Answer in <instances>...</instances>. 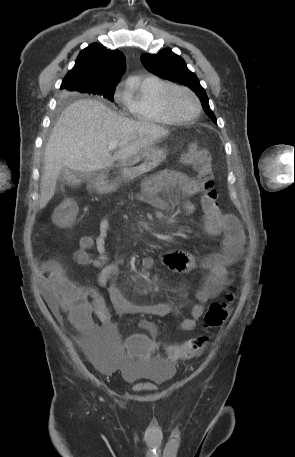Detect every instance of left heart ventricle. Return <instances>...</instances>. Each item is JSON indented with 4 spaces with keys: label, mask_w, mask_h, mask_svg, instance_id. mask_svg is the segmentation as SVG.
Masks as SVG:
<instances>
[{
    "label": "left heart ventricle",
    "mask_w": 295,
    "mask_h": 457,
    "mask_svg": "<svg viewBox=\"0 0 295 457\" xmlns=\"http://www.w3.org/2000/svg\"><path fill=\"white\" fill-rule=\"evenodd\" d=\"M169 103L173 112L180 117H190L196 110L193 98L185 91H173L169 97Z\"/></svg>",
    "instance_id": "left-heart-ventricle-1"
}]
</instances>
